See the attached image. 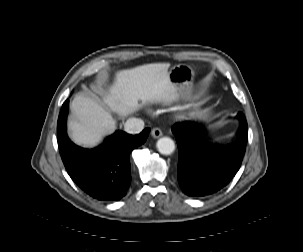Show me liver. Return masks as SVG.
Masks as SVG:
<instances>
[{
    "label": "liver",
    "mask_w": 303,
    "mask_h": 252,
    "mask_svg": "<svg viewBox=\"0 0 303 252\" xmlns=\"http://www.w3.org/2000/svg\"><path fill=\"white\" fill-rule=\"evenodd\" d=\"M169 68V63H152L118 71L109 91H100L104 103L122 116L134 113L146 103H172L176 93L169 82ZM71 109L74 116L68 124L69 134L79 145L95 146L116 129L110 112L90 97L76 96Z\"/></svg>",
    "instance_id": "obj_1"
}]
</instances>
